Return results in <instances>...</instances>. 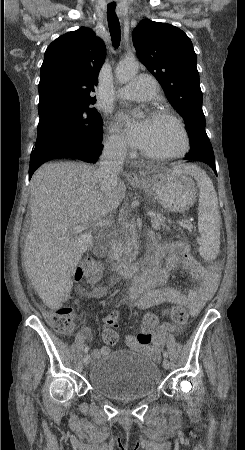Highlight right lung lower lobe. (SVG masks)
<instances>
[{"instance_id": "right-lung-lower-lobe-1", "label": "right lung lower lobe", "mask_w": 245, "mask_h": 450, "mask_svg": "<svg viewBox=\"0 0 245 450\" xmlns=\"http://www.w3.org/2000/svg\"><path fill=\"white\" fill-rule=\"evenodd\" d=\"M103 146L101 143L94 146H76L62 148L52 152H40L31 154L29 179L32 177L34 171L44 162L61 157H71L83 160L85 162H96Z\"/></svg>"}]
</instances>
